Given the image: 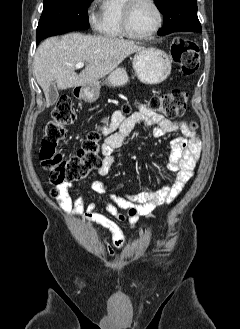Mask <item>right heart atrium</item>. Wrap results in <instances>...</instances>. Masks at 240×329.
Instances as JSON below:
<instances>
[{
	"instance_id": "right-heart-atrium-1",
	"label": "right heart atrium",
	"mask_w": 240,
	"mask_h": 329,
	"mask_svg": "<svg viewBox=\"0 0 240 329\" xmlns=\"http://www.w3.org/2000/svg\"><path fill=\"white\" fill-rule=\"evenodd\" d=\"M88 15H89L90 22L92 24H96L97 21L95 20V16H94L93 12L89 11Z\"/></svg>"
}]
</instances>
